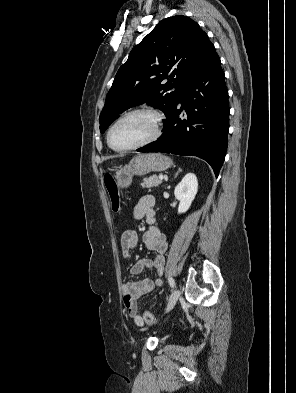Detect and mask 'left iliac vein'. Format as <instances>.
Listing matches in <instances>:
<instances>
[{
	"mask_svg": "<svg viewBox=\"0 0 296 393\" xmlns=\"http://www.w3.org/2000/svg\"><path fill=\"white\" fill-rule=\"evenodd\" d=\"M179 297H180V291L178 289H175L168 300L166 312H169L175 306Z\"/></svg>",
	"mask_w": 296,
	"mask_h": 393,
	"instance_id": "obj_1",
	"label": "left iliac vein"
}]
</instances>
